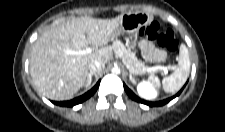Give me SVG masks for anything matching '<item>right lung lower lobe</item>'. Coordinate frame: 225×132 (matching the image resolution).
<instances>
[{"mask_svg": "<svg viewBox=\"0 0 225 132\" xmlns=\"http://www.w3.org/2000/svg\"><path fill=\"white\" fill-rule=\"evenodd\" d=\"M100 81L87 93L83 94L82 96H79L73 100L70 101H63V102H54V104L59 105V106H67V107H72L76 104L82 103L83 101L87 100L89 97H91L97 90L99 86Z\"/></svg>", "mask_w": 225, "mask_h": 132, "instance_id": "1", "label": "right lung lower lobe"}]
</instances>
